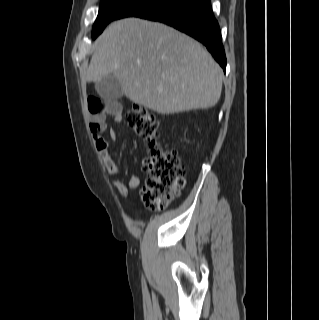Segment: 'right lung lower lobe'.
I'll use <instances>...</instances> for the list:
<instances>
[{
	"mask_svg": "<svg viewBox=\"0 0 319 320\" xmlns=\"http://www.w3.org/2000/svg\"><path fill=\"white\" fill-rule=\"evenodd\" d=\"M137 17L168 24L200 41L225 71L226 56L221 32L210 0H171Z\"/></svg>",
	"mask_w": 319,
	"mask_h": 320,
	"instance_id": "98d812e1",
	"label": "right lung lower lobe"
}]
</instances>
